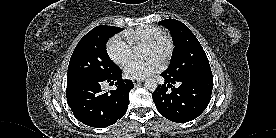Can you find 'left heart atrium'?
<instances>
[{
  "mask_svg": "<svg viewBox=\"0 0 276 138\" xmlns=\"http://www.w3.org/2000/svg\"><path fill=\"white\" fill-rule=\"evenodd\" d=\"M161 67L162 64L156 57L144 61L132 60L126 64L124 74L130 79H143L160 71Z\"/></svg>",
  "mask_w": 276,
  "mask_h": 138,
  "instance_id": "1",
  "label": "left heart atrium"
}]
</instances>
